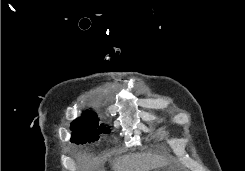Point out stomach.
Returning <instances> with one entry per match:
<instances>
[{
  "label": "stomach",
  "mask_w": 245,
  "mask_h": 171,
  "mask_svg": "<svg viewBox=\"0 0 245 171\" xmlns=\"http://www.w3.org/2000/svg\"><path fill=\"white\" fill-rule=\"evenodd\" d=\"M155 171H167L166 169H158V170H155Z\"/></svg>",
  "instance_id": "1"
}]
</instances>
